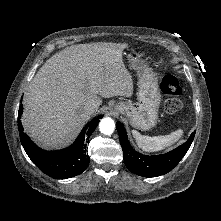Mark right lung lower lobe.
<instances>
[{
    "mask_svg": "<svg viewBox=\"0 0 221 221\" xmlns=\"http://www.w3.org/2000/svg\"><path fill=\"white\" fill-rule=\"evenodd\" d=\"M23 113L22 104L19 107L18 129L24 150L33 163L46 175L56 179L71 178L84 172L89 165L87 142L99 123L100 117L91 120L81 131L76 141L68 148L58 151H45L36 146L23 131L20 121Z\"/></svg>",
    "mask_w": 221,
    "mask_h": 221,
    "instance_id": "1",
    "label": "right lung lower lobe"
}]
</instances>
